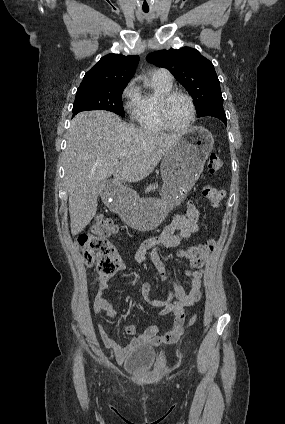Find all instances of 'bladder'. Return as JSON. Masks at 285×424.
<instances>
[{"mask_svg":"<svg viewBox=\"0 0 285 424\" xmlns=\"http://www.w3.org/2000/svg\"><path fill=\"white\" fill-rule=\"evenodd\" d=\"M158 355V349L143 345L132 349L126 356L124 361L125 367L134 373L141 372L149 368Z\"/></svg>","mask_w":285,"mask_h":424,"instance_id":"bladder-1","label":"bladder"}]
</instances>
